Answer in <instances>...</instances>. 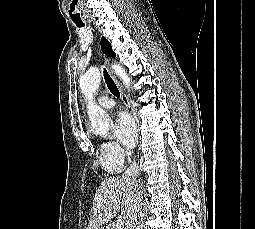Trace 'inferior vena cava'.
I'll return each mask as SVG.
<instances>
[{"label": "inferior vena cava", "instance_id": "inferior-vena-cava-1", "mask_svg": "<svg viewBox=\"0 0 255 229\" xmlns=\"http://www.w3.org/2000/svg\"><path fill=\"white\" fill-rule=\"evenodd\" d=\"M139 174V166L138 164L133 161L132 164L126 169V171L123 173V178H126L127 180L135 183L137 182V175ZM142 195L139 190H137L132 204L128 210L125 228L124 229H136L137 224V217L139 215V212L142 208Z\"/></svg>", "mask_w": 255, "mask_h": 229}]
</instances>
